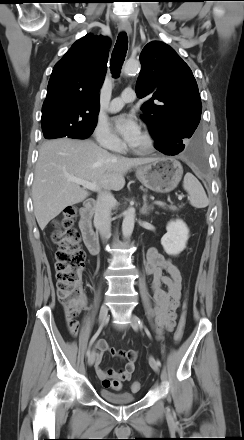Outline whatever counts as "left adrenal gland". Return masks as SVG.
<instances>
[{
    "label": "left adrenal gland",
    "instance_id": "1",
    "mask_svg": "<svg viewBox=\"0 0 244 440\" xmlns=\"http://www.w3.org/2000/svg\"><path fill=\"white\" fill-rule=\"evenodd\" d=\"M154 207L153 205L147 204L146 196L143 197V206L141 208V214L142 215H148L150 211H153Z\"/></svg>",
    "mask_w": 244,
    "mask_h": 440
}]
</instances>
